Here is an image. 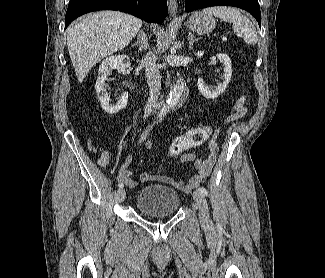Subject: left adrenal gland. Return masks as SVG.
Segmentation results:
<instances>
[{
	"label": "left adrenal gland",
	"mask_w": 325,
	"mask_h": 278,
	"mask_svg": "<svg viewBox=\"0 0 325 278\" xmlns=\"http://www.w3.org/2000/svg\"><path fill=\"white\" fill-rule=\"evenodd\" d=\"M198 40H199L198 38H195L194 35L191 32H189L188 41H189V49L190 50L192 49L193 43L198 41Z\"/></svg>",
	"instance_id": "a2214340"
}]
</instances>
